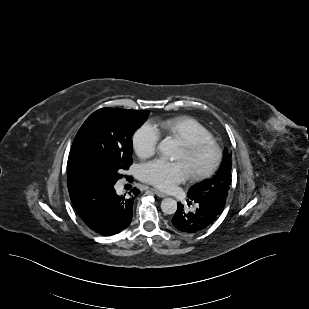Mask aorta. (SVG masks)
<instances>
[{"mask_svg": "<svg viewBox=\"0 0 309 309\" xmlns=\"http://www.w3.org/2000/svg\"><path fill=\"white\" fill-rule=\"evenodd\" d=\"M158 149L164 155L171 157V158H175L177 151H178V147H177L176 142L170 137L163 139L159 143ZM161 209H162V212L164 214H168V215L174 214L177 210L176 200H174L173 198L163 199L162 202H161Z\"/></svg>", "mask_w": 309, "mask_h": 309, "instance_id": "762f6f07", "label": "aorta"}]
</instances>
